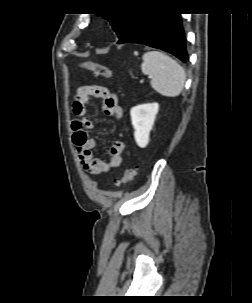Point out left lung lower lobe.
I'll return each mask as SVG.
<instances>
[{"label":"left lung lower lobe","instance_id":"0a47b994","mask_svg":"<svg viewBox=\"0 0 252 303\" xmlns=\"http://www.w3.org/2000/svg\"><path fill=\"white\" fill-rule=\"evenodd\" d=\"M180 15L177 13L147 12L119 44H145L173 54L183 62L188 59Z\"/></svg>","mask_w":252,"mask_h":303}]
</instances>
